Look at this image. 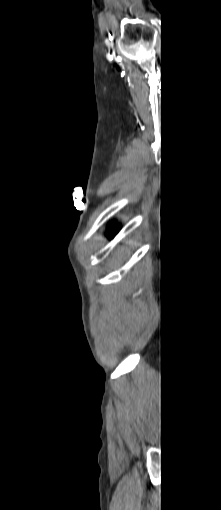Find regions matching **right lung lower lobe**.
Returning <instances> with one entry per match:
<instances>
[{"instance_id":"1","label":"right lung lower lobe","mask_w":221,"mask_h":510,"mask_svg":"<svg viewBox=\"0 0 221 510\" xmlns=\"http://www.w3.org/2000/svg\"><path fill=\"white\" fill-rule=\"evenodd\" d=\"M117 231H118V229L116 228V229H115V231L109 235V237H110V238H113V237H114V235H115V233H116Z\"/></svg>"}]
</instances>
